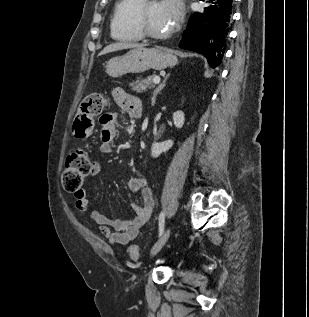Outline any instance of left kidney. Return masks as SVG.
Segmentation results:
<instances>
[{
    "instance_id": "1",
    "label": "left kidney",
    "mask_w": 309,
    "mask_h": 317,
    "mask_svg": "<svg viewBox=\"0 0 309 317\" xmlns=\"http://www.w3.org/2000/svg\"><path fill=\"white\" fill-rule=\"evenodd\" d=\"M185 117L182 111H176L173 113V122L177 128H182L184 125ZM174 142L173 140H166L161 143H153L151 146V155L157 158L163 152H167L172 148Z\"/></svg>"
}]
</instances>
